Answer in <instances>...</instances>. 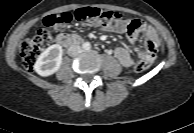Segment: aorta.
I'll return each mask as SVG.
<instances>
[{
	"mask_svg": "<svg viewBox=\"0 0 194 133\" xmlns=\"http://www.w3.org/2000/svg\"><path fill=\"white\" fill-rule=\"evenodd\" d=\"M82 47L84 50L88 51L91 49V44L89 42H85L83 43Z\"/></svg>",
	"mask_w": 194,
	"mask_h": 133,
	"instance_id": "762f6f07",
	"label": "aorta"
}]
</instances>
